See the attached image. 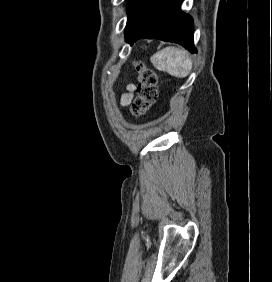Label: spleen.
Returning <instances> with one entry per match:
<instances>
[{"mask_svg":"<svg viewBox=\"0 0 272 282\" xmlns=\"http://www.w3.org/2000/svg\"><path fill=\"white\" fill-rule=\"evenodd\" d=\"M159 71H164L175 77H186L192 67L191 59L185 50L176 47H166L150 58Z\"/></svg>","mask_w":272,"mask_h":282,"instance_id":"obj_1","label":"spleen"}]
</instances>
